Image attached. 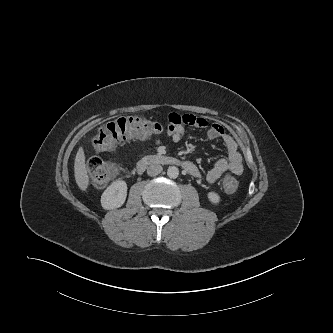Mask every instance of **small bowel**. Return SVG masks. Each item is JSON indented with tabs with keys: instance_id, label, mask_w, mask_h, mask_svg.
<instances>
[{
	"instance_id": "1",
	"label": "small bowel",
	"mask_w": 333,
	"mask_h": 333,
	"mask_svg": "<svg viewBox=\"0 0 333 333\" xmlns=\"http://www.w3.org/2000/svg\"><path fill=\"white\" fill-rule=\"evenodd\" d=\"M185 126H193L197 128H204L207 130V137L210 140H221L228 152L226 158L219 159L214 167L210 169L205 176L208 183H215L223 173L230 171L235 175H240L243 172L242 157L238 150V146L234 138L228 134L224 128L216 123H210L202 117H196L189 114L172 113L169 115V131L168 134L173 142H179L184 133ZM187 171L194 177H199L200 172L197 166L191 162L186 161Z\"/></svg>"
}]
</instances>
